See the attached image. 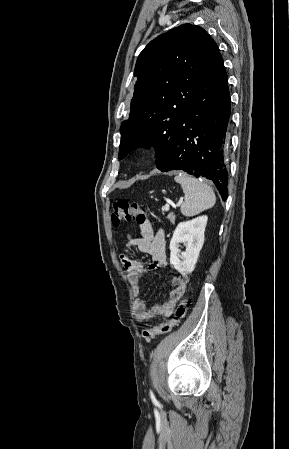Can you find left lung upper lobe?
Instances as JSON below:
<instances>
[{"label": "left lung upper lobe", "instance_id": "1", "mask_svg": "<svg viewBox=\"0 0 289 449\" xmlns=\"http://www.w3.org/2000/svg\"><path fill=\"white\" fill-rule=\"evenodd\" d=\"M219 52L201 27L184 24L152 40L140 53L129 119L120 127L119 159L143 146L157 149L156 164L167 156L177 123Z\"/></svg>", "mask_w": 289, "mask_h": 449}]
</instances>
